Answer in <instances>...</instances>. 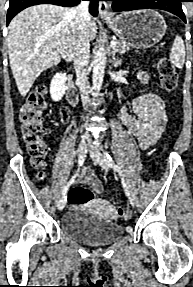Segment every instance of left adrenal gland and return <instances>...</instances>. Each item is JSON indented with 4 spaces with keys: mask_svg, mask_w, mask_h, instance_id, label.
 Wrapping results in <instances>:
<instances>
[{
    "mask_svg": "<svg viewBox=\"0 0 193 287\" xmlns=\"http://www.w3.org/2000/svg\"><path fill=\"white\" fill-rule=\"evenodd\" d=\"M111 63L113 64L114 67H119V65L121 64V60L116 59L115 57V51H112Z\"/></svg>",
    "mask_w": 193,
    "mask_h": 287,
    "instance_id": "a2214340",
    "label": "left adrenal gland"
}]
</instances>
